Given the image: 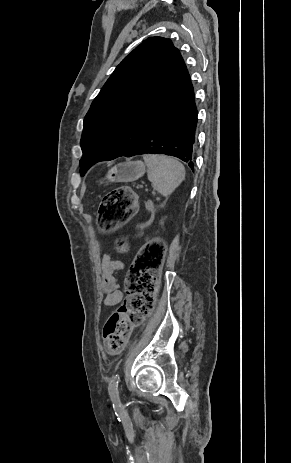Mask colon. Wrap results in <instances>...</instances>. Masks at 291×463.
<instances>
[{"label":"colon","instance_id":"5ec220e1","mask_svg":"<svg viewBox=\"0 0 291 463\" xmlns=\"http://www.w3.org/2000/svg\"><path fill=\"white\" fill-rule=\"evenodd\" d=\"M137 204L138 196L129 187L109 191L99 205L98 227L109 231L125 224ZM117 245L119 249L124 248L121 241ZM164 255L165 244L160 240L149 241L139 250L125 278L126 298L104 325L103 342L109 353L122 351L132 327L139 325L153 310Z\"/></svg>","mask_w":291,"mask_h":463}]
</instances>
